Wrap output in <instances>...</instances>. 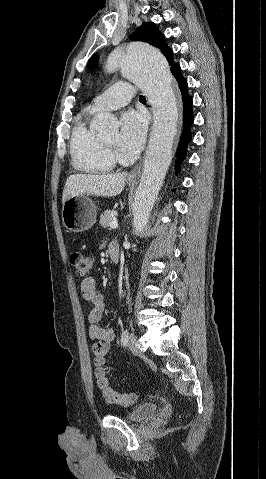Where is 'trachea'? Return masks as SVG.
I'll use <instances>...</instances> for the list:
<instances>
[{
    "mask_svg": "<svg viewBox=\"0 0 266 479\" xmlns=\"http://www.w3.org/2000/svg\"><path fill=\"white\" fill-rule=\"evenodd\" d=\"M139 100H140V101H146V99H145V97H144L143 95H141V96L139 97Z\"/></svg>",
    "mask_w": 266,
    "mask_h": 479,
    "instance_id": "1",
    "label": "trachea"
}]
</instances>
